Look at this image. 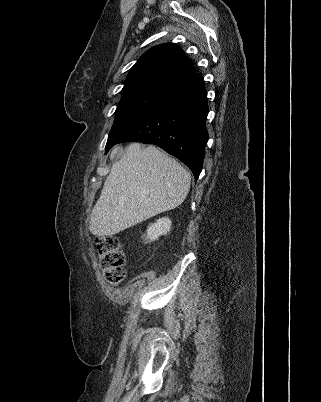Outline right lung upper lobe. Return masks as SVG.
<instances>
[{
	"mask_svg": "<svg viewBox=\"0 0 321 402\" xmlns=\"http://www.w3.org/2000/svg\"><path fill=\"white\" fill-rule=\"evenodd\" d=\"M196 74L182 49L166 43L146 51L131 68L124 87L127 90L150 83L175 86Z\"/></svg>",
	"mask_w": 321,
	"mask_h": 402,
	"instance_id": "cb5924a9",
	"label": "right lung upper lobe"
}]
</instances>
